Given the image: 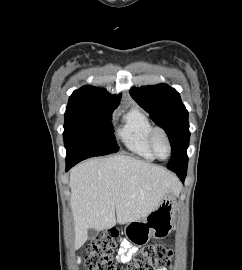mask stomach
I'll return each instance as SVG.
<instances>
[{"instance_id": "0dacf381", "label": "stomach", "mask_w": 242, "mask_h": 270, "mask_svg": "<svg viewBox=\"0 0 242 270\" xmlns=\"http://www.w3.org/2000/svg\"><path fill=\"white\" fill-rule=\"evenodd\" d=\"M176 214V203L170 193H168L162 198L154 211L146 217L126 225V237L136 245L148 243L151 237L164 239L173 230Z\"/></svg>"}]
</instances>
